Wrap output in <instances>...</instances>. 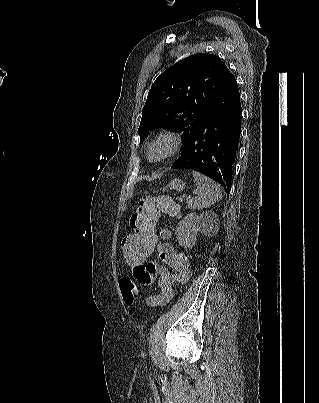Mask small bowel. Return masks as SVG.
<instances>
[{
  "label": "small bowel",
  "instance_id": "obj_1",
  "mask_svg": "<svg viewBox=\"0 0 319 403\" xmlns=\"http://www.w3.org/2000/svg\"><path fill=\"white\" fill-rule=\"evenodd\" d=\"M160 239L163 242L153 247V251L157 249V260L148 266L138 262L129 268V274L134 276L133 280L140 286L150 285L157 280L160 292L147 298L148 306H163L169 303L175 295L174 284L186 282L190 274L188 257L168 242L171 232L168 229L161 230ZM162 263L174 273L171 274Z\"/></svg>",
  "mask_w": 319,
  "mask_h": 403
}]
</instances>
